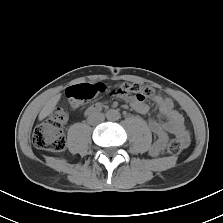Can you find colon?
Listing matches in <instances>:
<instances>
[{"mask_svg":"<svg viewBox=\"0 0 223 223\" xmlns=\"http://www.w3.org/2000/svg\"><path fill=\"white\" fill-rule=\"evenodd\" d=\"M106 87L102 83H82L70 86L66 91V96L70 100L72 107L76 108L84 102L91 101L99 94L103 93ZM113 95L127 96L133 95L139 100L154 97L156 91L147 85L132 82L118 83L113 91ZM159 98L164 100V104L169 109L176 107V99L168 96L166 91L159 93ZM68 114L63 108H56L46 120L39 123L33 130L32 142L35 147L50 152H60L66 147V139L62 129L67 121ZM183 149L182 143L174 138L168 144V151L173 155H178Z\"/></svg>","mask_w":223,"mask_h":223,"instance_id":"1","label":"colon"}]
</instances>
